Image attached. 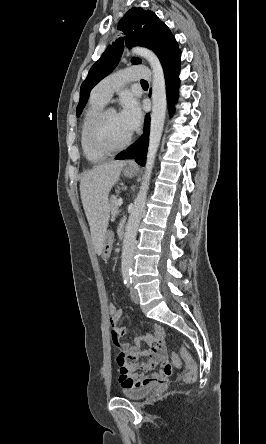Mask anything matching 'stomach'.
I'll use <instances>...</instances> for the list:
<instances>
[{"label":"stomach","instance_id":"obj_1","mask_svg":"<svg viewBox=\"0 0 266 444\" xmlns=\"http://www.w3.org/2000/svg\"><path fill=\"white\" fill-rule=\"evenodd\" d=\"M124 176L131 178L137 174V169L134 167H126L123 170ZM113 244V234L110 231L106 232L105 239L102 246V255L108 257L111 253Z\"/></svg>","mask_w":266,"mask_h":444}]
</instances>
